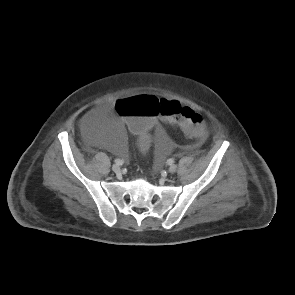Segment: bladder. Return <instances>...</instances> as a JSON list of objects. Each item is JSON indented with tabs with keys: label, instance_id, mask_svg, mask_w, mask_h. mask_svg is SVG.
I'll use <instances>...</instances> for the list:
<instances>
[{
	"label": "bladder",
	"instance_id": "31cf9c89",
	"mask_svg": "<svg viewBox=\"0 0 295 295\" xmlns=\"http://www.w3.org/2000/svg\"><path fill=\"white\" fill-rule=\"evenodd\" d=\"M77 128L81 137L96 147L106 149L119 158L128 154L127 138L112 112L106 107L93 105L84 109L78 117ZM153 132L157 138L154 143V168L161 172L165 168L167 155L173 151L174 146L162 126H155Z\"/></svg>",
	"mask_w": 295,
	"mask_h": 295
}]
</instances>
